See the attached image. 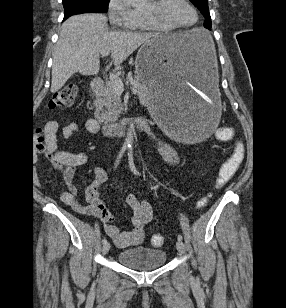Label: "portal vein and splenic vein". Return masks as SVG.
<instances>
[{
  "label": "portal vein and splenic vein",
  "instance_id": "18ae733b",
  "mask_svg": "<svg viewBox=\"0 0 286 308\" xmlns=\"http://www.w3.org/2000/svg\"><path fill=\"white\" fill-rule=\"evenodd\" d=\"M109 53L110 51H102L101 55L105 57L108 56ZM110 80L112 81L114 88L121 94L124 91V85L122 80L114 73H110ZM132 92L134 94L138 93L137 89L135 88H132Z\"/></svg>",
  "mask_w": 286,
  "mask_h": 308
}]
</instances>
